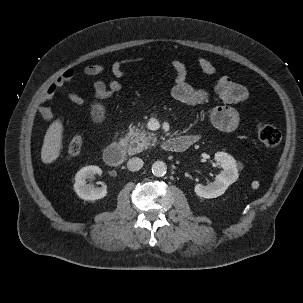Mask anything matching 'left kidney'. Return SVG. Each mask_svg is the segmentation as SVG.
I'll use <instances>...</instances> for the list:
<instances>
[{"instance_id": "5707ae66", "label": "left kidney", "mask_w": 303, "mask_h": 303, "mask_svg": "<svg viewBox=\"0 0 303 303\" xmlns=\"http://www.w3.org/2000/svg\"><path fill=\"white\" fill-rule=\"evenodd\" d=\"M214 159L220 164L222 171L215 178V181L207 186L197 184L194 188L195 193L203 198H216L222 195L229 185L238 179V169L235 159L225 153H215Z\"/></svg>"}]
</instances>
